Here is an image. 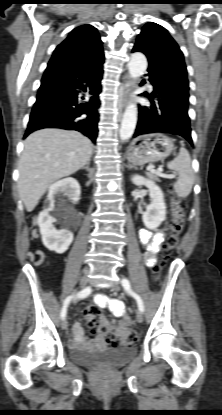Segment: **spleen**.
Returning a JSON list of instances; mask_svg holds the SVG:
<instances>
[{
    "label": "spleen",
    "mask_w": 222,
    "mask_h": 415,
    "mask_svg": "<svg viewBox=\"0 0 222 415\" xmlns=\"http://www.w3.org/2000/svg\"><path fill=\"white\" fill-rule=\"evenodd\" d=\"M167 167L178 173V179L173 185L176 194L181 198H186L191 193L194 184V171L189 152L183 147L180 148L178 156L168 162Z\"/></svg>",
    "instance_id": "obj_1"
}]
</instances>
